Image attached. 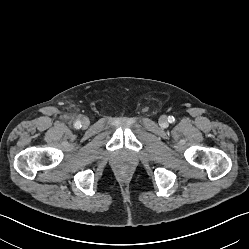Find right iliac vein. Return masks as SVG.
Instances as JSON below:
<instances>
[{"instance_id":"obj_1","label":"right iliac vein","mask_w":249,"mask_h":249,"mask_svg":"<svg viewBox=\"0 0 249 249\" xmlns=\"http://www.w3.org/2000/svg\"><path fill=\"white\" fill-rule=\"evenodd\" d=\"M89 124H90L89 119L84 118V119L82 120V126H83L84 128H87V127L89 126Z\"/></svg>"}]
</instances>
